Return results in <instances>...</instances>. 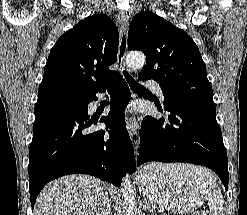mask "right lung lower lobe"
Listing matches in <instances>:
<instances>
[{"label": "right lung lower lobe", "instance_id": "right-lung-lower-lobe-1", "mask_svg": "<svg viewBox=\"0 0 247 215\" xmlns=\"http://www.w3.org/2000/svg\"><path fill=\"white\" fill-rule=\"evenodd\" d=\"M105 88L113 90L111 110L100 119L106 128L91 130L97 120L90 119L88 104ZM130 98L120 74L90 93L74 95L39 87L28 166L32 208L42 188L64 175L84 173L120 186L126 171L134 166L133 146L124 122Z\"/></svg>", "mask_w": 247, "mask_h": 215}]
</instances>
